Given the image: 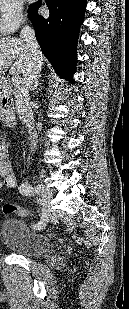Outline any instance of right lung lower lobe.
I'll use <instances>...</instances> for the list:
<instances>
[{"label": "right lung lower lobe", "instance_id": "98d812e1", "mask_svg": "<svg viewBox=\"0 0 129 309\" xmlns=\"http://www.w3.org/2000/svg\"><path fill=\"white\" fill-rule=\"evenodd\" d=\"M40 0L30 9L29 18L43 54L56 72L73 83L76 42L83 22L86 0H46L49 17L37 13Z\"/></svg>", "mask_w": 129, "mask_h": 309}]
</instances>
